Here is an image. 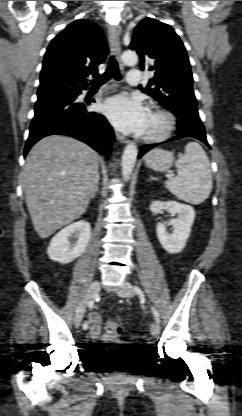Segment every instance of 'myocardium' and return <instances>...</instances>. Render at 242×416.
<instances>
[{
	"mask_svg": "<svg viewBox=\"0 0 242 416\" xmlns=\"http://www.w3.org/2000/svg\"><path fill=\"white\" fill-rule=\"evenodd\" d=\"M150 113L158 116L161 119V124L157 130L143 134L141 138L146 142H159L166 139L174 128V115L167 109L160 107L152 108Z\"/></svg>",
	"mask_w": 242,
	"mask_h": 416,
	"instance_id": "myocardium-1",
	"label": "myocardium"
}]
</instances>
